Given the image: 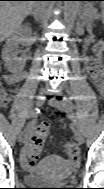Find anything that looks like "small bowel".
<instances>
[{
	"label": "small bowel",
	"mask_w": 104,
	"mask_h": 189,
	"mask_svg": "<svg viewBox=\"0 0 104 189\" xmlns=\"http://www.w3.org/2000/svg\"><path fill=\"white\" fill-rule=\"evenodd\" d=\"M98 65H91V64H87L86 68L88 70V73L90 74L91 79L95 82V86L99 91H102L103 89V85L100 81L99 78H96L93 75V68L96 67ZM26 74L24 71H17V72H13V73H8L6 75L3 76V81L5 83V85L10 86L15 84L18 81H21L25 78ZM10 102V97L7 94V92L3 89L1 92V97H0V103L2 106H7ZM33 136V126H29L27 129V135H26V142L22 148V152H21V158L23 160H25L27 158V152L29 149V144L31 141V138Z\"/></svg>",
	"instance_id": "obj_1"
}]
</instances>
